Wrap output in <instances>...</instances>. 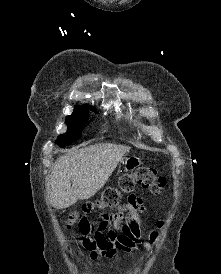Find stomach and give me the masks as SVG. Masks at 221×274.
<instances>
[{"mask_svg":"<svg viewBox=\"0 0 221 274\" xmlns=\"http://www.w3.org/2000/svg\"><path fill=\"white\" fill-rule=\"evenodd\" d=\"M141 164V159L136 156H131L123 161V169L126 172H131Z\"/></svg>","mask_w":221,"mask_h":274,"instance_id":"stomach-1","label":"stomach"}]
</instances>
